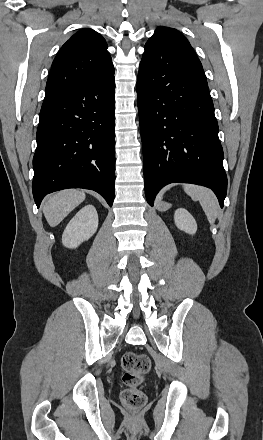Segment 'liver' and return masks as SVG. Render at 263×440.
Masks as SVG:
<instances>
[{
    "mask_svg": "<svg viewBox=\"0 0 263 440\" xmlns=\"http://www.w3.org/2000/svg\"><path fill=\"white\" fill-rule=\"evenodd\" d=\"M85 193L76 189L60 191L43 205V213L51 227L57 226L73 209L85 200Z\"/></svg>",
    "mask_w": 263,
    "mask_h": 440,
    "instance_id": "liver-1",
    "label": "liver"
}]
</instances>
